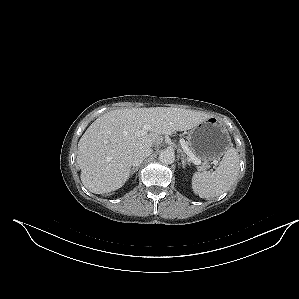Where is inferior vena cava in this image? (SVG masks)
<instances>
[{
  "label": "inferior vena cava",
  "mask_w": 299,
  "mask_h": 299,
  "mask_svg": "<svg viewBox=\"0 0 299 299\" xmlns=\"http://www.w3.org/2000/svg\"><path fill=\"white\" fill-rule=\"evenodd\" d=\"M153 150L151 148H145L139 151H136L131 160L132 166H139L142 161L152 154Z\"/></svg>",
  "instance_id": "obj_1"
}]
</instances>
